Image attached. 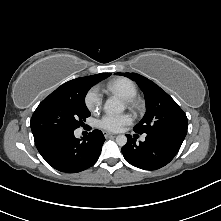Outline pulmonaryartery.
<instances>
[{"label":"pulmonary artery","instance_id":"pulmonary-artery-1","mask_svg":"<svg viewBox=\"0 0 221 221\" xmlns=\"http://www.w3.org/2000/svg\"><path fill=\"white\" fill-rule=\"evenodd\" d=\"M144 140H145V136L142 137V141H144Z\"/></svg>","mask_w":221,"mask_h":221}]
</instances>
